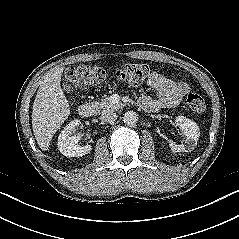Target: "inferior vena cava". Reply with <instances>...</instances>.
<instances>
[{"label": "inferior vena cava", "mask_w": 239, "mask_h": 239, "mask_svg": "<svg viewBox=\"0 0 239 239\" xmlns=\"http://www.w3.org/2000/svg\"><path fill=\"white\" fill-rule=\"evenodd\" d=\"M100 119L105 123L113 124L117 119V114L113 112H103Z\"/></svg>", "instance_id": "1"}]
</instances>
